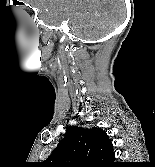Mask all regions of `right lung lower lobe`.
I'll list each match as a JSON object with an SVG mask.
<instances>
[{"mask_svg": "<svg viewBox=\"0 0 155 167\" xmlns=\"http://www.w3.org/2000/svg\"><path fill=\"white\" fill-rule=\"evenodd\" d=\"M118 166H120L119 164H116V165H113L112 167H118Z\"/></svg>", "mask_w": 155, "mask_h": 167, "instance_id": "obj_1", "label": "right lung lower lobe"}]
</instances>
